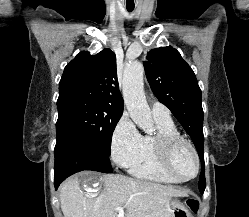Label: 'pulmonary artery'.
I'll return each instance as SVG.
<instances>
[{"instance_id":"pulmonary-artery-1","label":"pulmonary artery","mask_w":249,"mask_h":217,"mask_svg":"<svg viewBox=\"0 0 249 217\" xmlns=\"http://www.w3.org/2000/svg\"><path fill=\"white\" fill-rule=\"evenodd\" d=\"M151 110L154 118H160L165 120L171 119L169 109L160 102H154L151 106Z\"/></svg>"}]
</instances>
